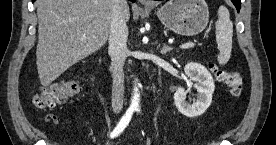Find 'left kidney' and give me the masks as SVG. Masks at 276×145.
<instances>
[{
    "label": "left kidney",
    "instance_id": "1",
    "mask_svg": "<svg viewBox=\"0 0 276 145\" xmlns=\"http://www.w3.org/2000/svg\"><path fill=\"white\" fill-rule=\"evenodd\" d=\"M184 71L190 80L196 82L197 100L193 104L188 103L184 88H179L174 94V102L181 114L193 118L202 115L210 106L215 84L211 73L199 63H187Z\"/></svg>",
    "mask_w": 276,
    "mask_h": 145
}]
</instances>
